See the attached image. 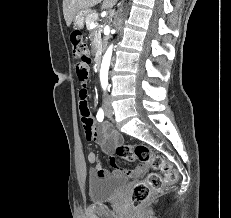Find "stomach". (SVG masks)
<instances>
[{"label":"stomach","mask_w":231,"mask_h":218,"mask_svg":"<svg viewBox=\"0 0 231 218\" xmlns=\"http://www.w3.org/2000/svg\"><path fill=\"white\" fill-rule=\"evenodd\" d=\"M89 12L90 10H80L75 14L73 18V24L76 28H79V29L83 28L84 19Z\"/></svg>","instance_id":"obj_1"}]
</instances>
